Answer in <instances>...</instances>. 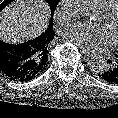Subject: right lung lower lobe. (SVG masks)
Masks as SVG:
<instances>
[{
    "mask_svg": "<svg viewBox=\"0 0 118 118\" xmlns=\"http://www.w3.org/2000/svg\"><path fill=\"white\" fill-rule=\"evenodd\" d=\"M31 40L12 45L0 40V73L17 82H26L39 75L35 49Z\"/></svg>",
    "mask_w": 118,
    "mask_h": 118,
    "instance_id": "1",
    "label": "right lung lower lobe"
}]
</instances>
